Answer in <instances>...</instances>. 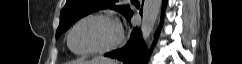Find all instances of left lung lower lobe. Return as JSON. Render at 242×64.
Listing matches in <instances>:
<instances>
[{
  "mask_svg": "<svg viewBox=\"0 0 242 64\" xmlns=\"http://www.w3.org/2000/svg\"><path fill=\"white\" fill-rule=\"evenodd\" d=\"M166 2L167 0H163L161 21H160L159 28L155 33L154 44L157 41L159 32L162 27ZM132 15H133V12L131 11L130 14L126 17V19L130 20ZM104 56L118 59L122 61L124 64H147L149 52L146 53L145 51L144 41L142 40L141 32L138 31L137 28H135L130 35V40L127 43V45H125L121 49L106 53Z\"/></svg>",
  "mask_w": 242,
  "mask_h": 64,
  "instance_id": "left-lung-lower-lobe-1",
  "label": "left lung lower lobe"
}]
</instances>
